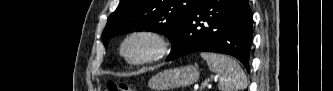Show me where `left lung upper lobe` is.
Returning <instances> with one entry per match:
<instances>
[{"mask_svg": "<svg viewBox=\"0 0 333 91\" xmlns=\"http://www.w3.org/2000/svg\"><path fill=\"white\" fill-rule=\"evenodd\" d=\"M199 0H120L102 33L105 47L110 38L132 31H155L172 41Z\"/></svg>", "mask_w": 333, "mask_h": 91, "instance_id": "left-lung-upper-lobe-1", "label": "left lung upper lobe"}]
</instances>
